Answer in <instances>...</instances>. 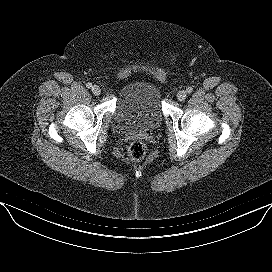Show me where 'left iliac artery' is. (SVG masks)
<instances>
[{
	"mask_svg": "<svg viewBox=\"0 0 272 272\" xmlns=\"http://www.w3.org/2000/svg\"><path fill=\"white\" fill-rule=\"evenodd\" d=\"M186 91H187V93L190 94L193 91V88L192 87H187Z\"/></svg>",
	"mask_w": 272,
	"mask_h": 272,
	"instance_id": "1",
	"label": "left iliac artery"
}]
</instances>
